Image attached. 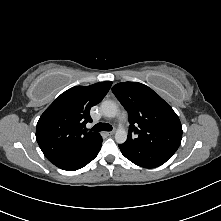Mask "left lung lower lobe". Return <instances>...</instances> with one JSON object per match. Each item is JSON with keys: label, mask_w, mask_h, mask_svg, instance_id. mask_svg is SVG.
Returning a JSON list of instances; mask_svg holds the SVG:
<instances>
[{"label": "left lung lower lobe", "mask_w": 221, "mask_h": 221, "mask_svg": "<svg viewBox=\"0 0 221 221\" xmlns=\"http://www.w3.org/2000/svg\"><path fill=\"white\" fill-rule=\"evenodd\" d=\"M119 148L127 159L144 168L158 167L169 160L174 154L173 152L162 149L137 146L130 142L120 144Z\"/></svg>", "instance_id": "left-lung-lower-lobe-1"}]
</instances>
